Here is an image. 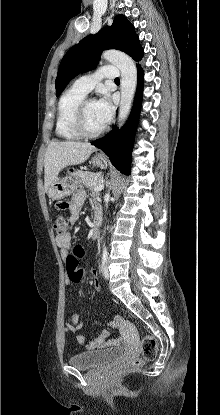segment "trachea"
Returning a JSON list of instances; mask_svg holds the SVG:
<instances>
[{"label": "trachea", "mask_w": 220, "mask_h": 415, "mask_svg": "<svg viewBox=\"0 0 220 415\" xmlns=\"http://www.w3.org/2000/svg\"><path fill=\"white\" fill-rule=\"evenodd\" d=\"M114 81H115V82H119V81H120V79H119V78H116Z\"/></svg>", "instance_id": "obj_1"}]
</instances>
